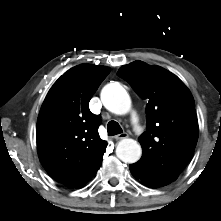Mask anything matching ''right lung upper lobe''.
<instances>
[{"mask_svg": "<svg viewBox=\"0 0 221 221\" xmlns=\"http://www.w3.org/2000/svg\"><path fill=\"white\" fill-rule=\"evenodd\" d=\"M110 69L77 65L49 90L37 120L40 161L56 181L77 187L90 180L101 166L107 142L98 133L100 120L89 101Z\"/></svg>", "mask_w": 221, "mask_h": 221, "instance_id": "obj_1", "label": "right lung upper lobe"}]
</instances>
